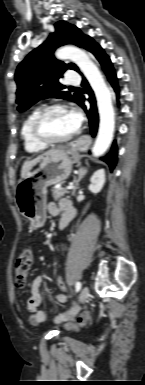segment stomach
Returning <instances> with one entry per match:
<instances>
[{
	"label": "stomach",
	"instance_id": "stomach-1",
	"mask_svg": "<svg viewBox=\"0 0 145 385\" xmlns=\"http://www.w3.org/2000/svg\"><path fill=\"white\" fill-rule=\"evenodd\" d=\"M69 154L63 147L47 151L16 185L17 208L32 229L42 227L46 221L47 187L62 183L71 173L73 160Z\"/></svg>",
	"mask_w": 145,
	"mask_h": 385
}]
</instances>
